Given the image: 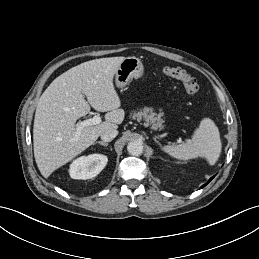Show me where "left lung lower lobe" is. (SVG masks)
<instances>
[{
  "label": "left lung lower lobe",
  "mask_w": 259,
  "mask_h": 259,
  "mask_svg": "<svg viewBox=\"0 0 259 259\" xmlns=\"http://www.w3.org/2000/svg\"><path fill=\"white\" fill-rule=\"evenodd\" d=\"M213 178H214V177L210 178L209 181H208L206 184H204L203 186H201V188H203L204 186H206Z\"/></svg>",
  "instance_id": "obj_1"
}]
</instances>
